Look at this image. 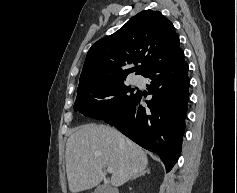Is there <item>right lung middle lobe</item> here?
<instances>
[{
  "mask_svg": "<svg viewBox=\"0 0 237 193\" xmlns=\"http://www.w3.org/2000/svg\"><path fill=\"white\" fill-rule=\"evenodd\" d=\"M135 89L114 80L77 91L74 110L95 119H105L123 110L137 95Z\"/></svg>",
  "mask_w": 237,
  "mask_h": 193,
  "instance_id": "obj_1",
  "label": "right lung middle lobe"
}]
</instances>
